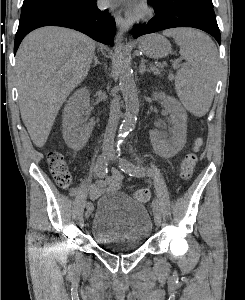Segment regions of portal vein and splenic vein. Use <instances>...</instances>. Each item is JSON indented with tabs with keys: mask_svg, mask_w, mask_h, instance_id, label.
Masks as SVG:
<instances>
[{
	"mask_svg": "<svg viewBox=\"0 0 245 300\" xmlns=\"http://www.w3.org/2000/svg\"><path fill=\"white\" fill-rule=\"evenodd\" d=\"M177 62H178L177 60H174V61H173V65H174V66H177Z\"/></svg>",
	"mask_w": 245,
	"mask_h": 300,
	"instance_id": "1",
	"label": "portal vein and splenic vein"
}]
</instances>
